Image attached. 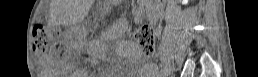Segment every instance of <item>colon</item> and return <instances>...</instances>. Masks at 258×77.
Segmentation results:
<instances>
[{
	"mask_svg": "<svg viewBox=\"0 0 258 77\" xmlns=\"http://www.w3.org/2000/svg\"><path fill=\"white\" fill-rule=\"evenodd\" d=\"M54 33L42 23L34 27V45L38 51H44L52 41ZM135 41L143 53L152 54L155 48V32L149 25H144L135 33Z\"/></svg>",
	"mask_w": 258,
	"mask_h": 77,
	"instance_id": "5ec220e1",
	"label": "colon"
}]
</instances>
